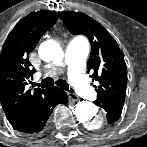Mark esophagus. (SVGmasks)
Here are the masks:
<instances>
[{
  "label": "esophagus",
  "instance_id": "34e87169",
  "mask_svg": "<svg viewBox=\"0 0 147 147\" xmlns=\"http://www.w3.org/2000/svg\"><path fill=\"white\" fill-rule=\"evenodd\" d=\"M67 95H68L69 99L73 102H76L79 99L78 96L73 92H68Z\"/></svg>",
  "mask_w": 147,
  "mask_h": 147
}]
</instances>
